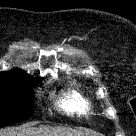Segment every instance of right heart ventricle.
Segmentation results:
<instances>
[{
	"label": "right heart ventricle",
	"instance_id": "1",
	"mask_svg": "<svg viewBox=\"0 0 136 136\" xmlns=\"http://www.w3.org/2000/svg\"><path fill=\"white\" fill-rule=\"evenodd\" d=\"M58 104L67 113L79 116L89 114L92 108L91 101L76 86L65 91L60 96Z\"/></svg>",
	"mask_w": 136,
	"mask_h": 136
}]
</instances>
